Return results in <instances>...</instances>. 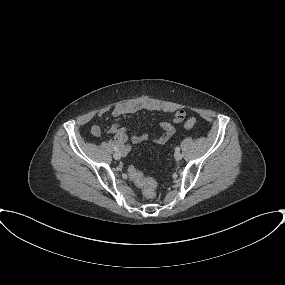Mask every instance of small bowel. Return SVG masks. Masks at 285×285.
<instances>
[{
	"instance_id": "small-bowel-1",
	"label": "small bowel",
	"mask_w": 285,
	"mask_h": 285,
	"mask_svg": "<svg viewBox=\"0 0 285 285\" xmlns=\"http://www.w3.org/2000/svg\"><path fill=\"white\" fill-rule=\"evenodd\" d=\"M139 110L161 111V108L153 102L142 99H135L115 105L109 110V113L112 117L116 118L137 112ZM106 112L107 111H102L101 115H104ZM180 112L183 113V117L179 119L177 116ZM184 118L185 112L178 111L175 114L174 122L180 123L184 120ZM161 128L163 130V133L153 139V142L157 145L165 144L175 132V127L170 122H162ZM101 132L102 129L100 125L95 124L91 127V134L93 136L97 137L101 134ZM108 133L112 135L110 143L120 148L121 152L125 154H128L130 151L129 142L140 144L148 140V136L146 134L128 136L126 129L118 123L112 124L108 129Z\"/></svg>"
}]
</instances>
